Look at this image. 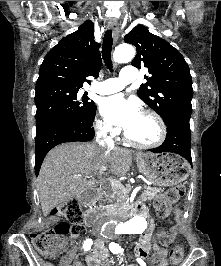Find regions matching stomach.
<instances>
[{
    "instance_id": "0dacf381",
    "label": "stomach",
    "mask_w": 221,
    "mask_h": 266,
    "mask_svg": "<svg viewBox=\"0 0 221 266\" xmlns=\"http://www.w3.org/2000/svg\"><path fill=\"white\" fill-rule=\"evenodd\" d=\"M138 169L158 186H174L189 176V164L174 154L143 153L136 158Z\"/></svg>"
}]
</instances>
